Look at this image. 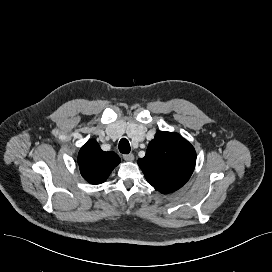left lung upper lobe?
I'll list each match as a JSON object with an SVG mask.
<instances>
[{
	"mask_svg": "<svg viewBox=\"0 0 272 272\" xmlns=\"http://www.w3.org/2000/svg\"><path fill=\"white\" fill-rule=\"evenodd\" d=\"M195 163L193 146L181 135L163 131L156 133L145 157L138 160L148 183L164 194L181 188L193 173Z\"/></svg>",
	"mask_w": 272,
	"mask_h": 272,
	"instance_id": "5c2ea615",
	"label": "left lung upper lobe"
}]
</instances>
